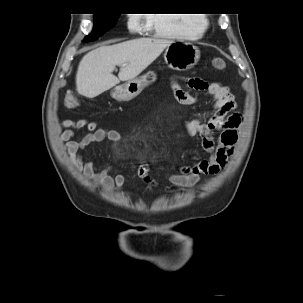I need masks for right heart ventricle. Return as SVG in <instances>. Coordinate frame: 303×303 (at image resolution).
Listing matches in <instances>:
<instances>
[{
	"label": "right heart ventricle",
	"instance_id": "e07e8e85",
	"mask_svg": "<svg viewBox=\"0 0 303 303\" xmlns=\"http://www.w3.org/2000/svg\"><path fill=\"white\" fill-rule=\"evenodd\" d=\"M146 24L157 35L166 37H197L202 33V21L192 14H147Z\"/></svg>",
	"mask_w": 303,
	"mask_h": 303
}]
</instances>
